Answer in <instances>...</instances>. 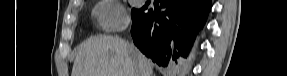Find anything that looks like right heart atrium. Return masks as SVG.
Returning a JSON list of instances; mask_svg holds the SVG:
<instances>
[{"label": "right heart atrium", "instance_id": "right-heart-atrium-1", "mask_svg": "<svg viewBox=\"0 0 287 76\" xmlns=\"http://www.w3.org/2000/svg\"><path fill=\"white\" fill-rule=\"evenodd\" d=\"M95 16L100 27L114 32L127 24L128 18L122 5L115 0H103L95 8Z\"/></svg>", "mask_w": 287, "mask_h": 76}]
</instances>
